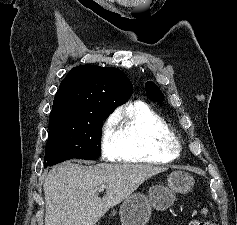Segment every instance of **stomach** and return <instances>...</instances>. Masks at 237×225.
I'll list each match as a JSON object with an SVG mask.
<instances>
[{
  "label": "stomach",
  "mask_w": 237,
  "mask_h": 225,
  "mask_svg": "<svg viewBox=\"0 0 237 225\" xmlns=\"http://www.w3.org/2000/svg\"><path fill=\"white\" fill-rule=\"evenodd\" d=\"M194 186L193 177L184 171H173L167 178V186L152 185L148 196L135 193L122 203L119 215L124 225H145L152 207L165 210L173 205L176 193H188Z\"/></svg>",
  "instance_id": "0dacf381"
}]
</instances>
